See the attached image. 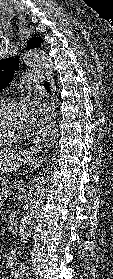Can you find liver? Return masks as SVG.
<instances>
[{
    "label": "liver",
    "instance_id": "1",
    "mask_svg": "<svg viewBox=\"0 0 113 279\" xmlns=\"http://www.w3.org/2000/svg\"><path fill=\"white\" fill-rule=\"evenodd\" d=\"M16 156L14 150H10V149H3L0 151V159L1 160H11Z\"/></svg>",
    "mask_w": 113,
    "mask_h": 279
}]
</instances>
